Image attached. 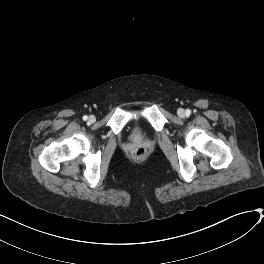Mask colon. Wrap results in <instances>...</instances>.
Wrapping results in <instances>:
<instances>
[{"label":"colon","instance_id":"1","mask_svg":"<svg viewBox=\"0 0 264 264\" xmlns=\"http://www.w3.org/2000/svg\"><path fill=\"white\" fill-rule=\"evenodd\" d=\"M144 155H145V149H143V148H138L134 152V157L136 159H142L144 157Z\"/></svg>","mask_w":264,"mask_h":264}]
</instances>
